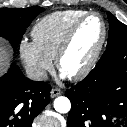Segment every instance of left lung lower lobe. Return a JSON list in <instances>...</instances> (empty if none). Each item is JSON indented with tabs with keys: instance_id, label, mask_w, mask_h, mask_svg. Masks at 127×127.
<instances>
[{
	"instance_id": "obj_1",
	"label": "left lung lower lobe",
	"mask_w": 127,
	"mask_h": 127,
	"mask_svg": "<svg viewBox=\"0 0 127 127\" xmlns=\"http://www.w3.org/2000/svg\"><path fill=\"white\" fill-rule=\"evenodd\" d=\"M66 96L71 101L68 127H127V45L104 53Z\"/></svg>"
}]
</instances>
